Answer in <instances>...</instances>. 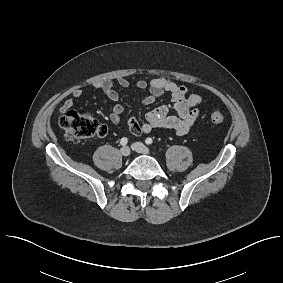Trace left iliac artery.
Instances as JSON below:
<instances>
[{
    "label": "left iliac artery",
    "instance_id": "1",
    "mask_svg": "<svg viewBox=\"0 0 283 283\" xmlns=\"http://www.w3.org/2000/svg\"><path fill=\"white\" fill-rule=\"evenodd\" d=\"M152 142H153V140H152V138H146V140H145V143L147 144V145H150V144H152Z\"/></svg>",
    "mask_w": 283,
    "mask_h": 283
}]
</instances>
